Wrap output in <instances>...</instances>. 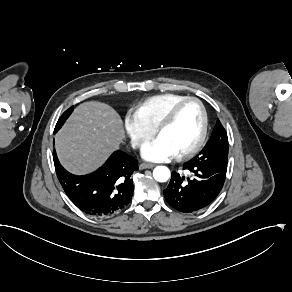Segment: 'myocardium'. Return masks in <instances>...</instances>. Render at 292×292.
Returning <instances> with one entry per match:
<instances>
[{
	"label": "myocardium",
	"mask_w": 292,
	"mask_h": 292,
	"mask_svg": "<svg viewBox=\"0 0 292 292\" xmlns=\"http://www.w3.org/2000/svg\"><path fill=\"white\" fill-rule=\"evenodd\" d=\"M187 102H195L198 105L200 109V113H201V124H200V131H199L196 141L193 143V145H191L187 149H184L183 151L179 152L180 156H188V155L196 153L201 148L205 140V136L207 132V113L201 100H199L196 97H185L176 101L164 112V114L161 116V118L159 119L155 127V132L157 134H160L162 129L165 128L174 119L178 109Z\"/></svg>",
	"instance_id": "obj_1"
}]
</instances>
